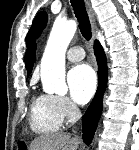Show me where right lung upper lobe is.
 <instances>
[{
    "mask_svg": "<svg viewBox=\"0 0 139 150\" xmlns=\"http://www.w3.org/2000/svg\"><path fill=\"white\" fill-rule=\"evenodd\" d=\"M36 48L34 47L32 53H31V57H30V61H29V67H28V75L31 73L32 68H33V64L35 61V50Z\"/></svg>",
    "mask_w": 139,
    "mask_h": 150,
    "instance_id": "cb5924a9",
    "label": "right lung upper lobe"
}]
</instances>
